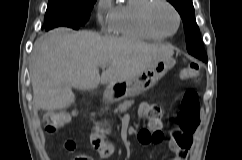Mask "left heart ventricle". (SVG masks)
I'll return each instance as SVG.
<instances>
[{
  "mask_svg": "<svg viewBox=\"0 0 242 160\" xmlns=\"http://www.w3.org/2000/svg\"><path fill=\"white\" fill-rule=\"evenodd\" d=\"M154 27L162 33H172L177 26L174 12L164 4L156 5L151 12Z\"/></svg>",
  "mask_w": 242,
  "mask_h": 160,
  "instance_id": "1",
  "label": "left heart ventricle"
}]
</instances>
